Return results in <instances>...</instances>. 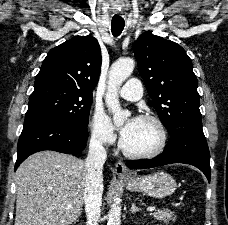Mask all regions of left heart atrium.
Masks as SVG:
<instances>
[{
    "mask_svg": "<svg viewBox=\"0 0 228 225\" xmlns=\"http://www.w3.org/2000/svg\"><path fill=\"white\" fill-rule=\"evenodd\" d=\"M138 123L137 118H131L122 128H121V135L124 139H128L134 133L136 126Z\"/></svg>",
    "mask_w": 228,
    "mask_h": 225,
    "instance_id": "39dd6f15",
    "label": "left heart atrium"
}]
</instances>
